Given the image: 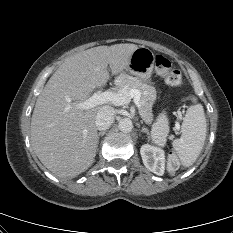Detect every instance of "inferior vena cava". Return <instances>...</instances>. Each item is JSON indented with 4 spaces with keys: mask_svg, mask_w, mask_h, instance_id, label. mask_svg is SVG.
I'll list each match as a JSON object with an SVG mask.
<instances>
[{
    "mask_svg": "<svg viewBox=\"0 0 233 233\" xmlns=\"http://www.w3.org/2000/svg\"><path fill=\"white\" fill-rule=\"evenodd\" d=\"M114 118V109L110 106H103L97 113L95 125L100 131L106 130L112 125Z\"/></svg>",
    "mask_w": 233,
    "mask_h": 233,
    "instance_id": "inferior-vena-cava-1",
    "label": "inferior vena cava"
}]
</instances>
